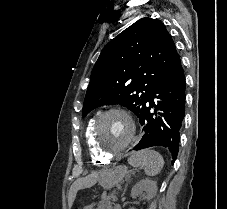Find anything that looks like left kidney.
Masks as SVG:
<instances>
[{"instance_id":"left-kidney-1","label":"left kidney","mask_w":227,"mask_h":209,"mask_svg":"<svg viewBox=\"0 0 227 209\" xmlns=\"http://www.w3.org/2000/svg\"><path fill=\"white\" fill-rule=\"evenodd\" d=\"M143 191H145V193H143ZM157 191L158 189L156 181H150V179H141L139 183L134 185L131 191V197L132 199H137V197H140V199H153Z\"/></svg>"}]
</instances>
